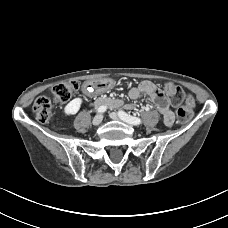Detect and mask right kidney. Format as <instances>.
<instances>
[{
    "instance_id": "ca27d5eb",
    "label": "right kidney",
    "mask_w": 228,
    "mask_h": 228,
    "mask_svg": "<svg viewBox=\"0 0 228 228\" xmlns=\"http://www.w3.org/2000/svg\"><path fill=\"white\" fill-rule=\"evenodd\" d=\"M82 104V99L81 98H75L71 100L64 108V113L66 115H74L76 114Z\"/></svg>"
}]
</instances>
